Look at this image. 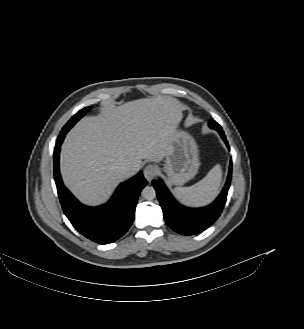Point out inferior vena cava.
I'll use <instances>...</instances> for the list:
<instances>
[{
	"label": "inferior vena cava",
	"mask_w": 304,
	"mask_h": 329,
	"mask_svg": "<svg viewBox=\"0 0 304 329\" xmlns=\"http://www.w3.org/2000/svg\"><path fill=\"white\" fill-rule=\"evenodd\" d=\"M119 171L122 175L126 176L133 171V166L128 164H123L119 167Z\"/></svg>",
	"instance_id": "obj_1"
}]
</instances>
